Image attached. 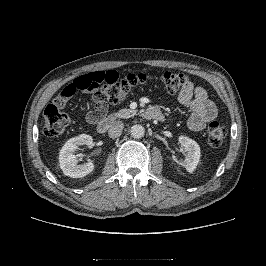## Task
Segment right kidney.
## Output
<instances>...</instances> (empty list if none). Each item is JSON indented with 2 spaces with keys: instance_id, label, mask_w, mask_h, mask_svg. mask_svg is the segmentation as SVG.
<instances>
[{
  "instance_id": "1",
  "label": "right kidney",
  "mask_w": 266,
  "mask_h": 266,
  "mask_svg": "<svg viewBox=\"0 0 266 266\" xmlns=\"http://www.w3.org/2000/svg\"><path fill=\"white\" fill-rule=\"evenodd\" d=\"M93 139L90 135L81 134L68 140L59 153L60 168L66 176L72 178H81L94 170L93 162H88L79 165L74 155L75 150L79 145L90 146Z\"/></svg>"
}]
</instances>
